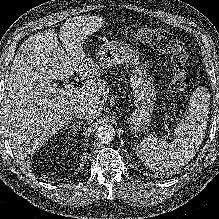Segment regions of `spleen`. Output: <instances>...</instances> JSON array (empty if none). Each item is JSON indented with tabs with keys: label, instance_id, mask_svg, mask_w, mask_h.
Masks as SVG:
<instances>
[{
	"label": "spleen",
	"instance_id": "spleen-1",
	"mask_svg": "<svg viewBox=\"0 0 219 219\" xmlns=\"http://www.w3.org/2000/svg\"><path fill=\"white\" fill-rule=\"evenodd\" d=\"M189 104L184 114L185 120H181L174 129L173 141L149 135L136 146L139 162H144L155 175L178 173L182 166L193 159L203 141L209 110L206 93L197 88Z\"/></svg>",
	"mask_w": 219,
	"mask_h": 219
}]
</instances>
